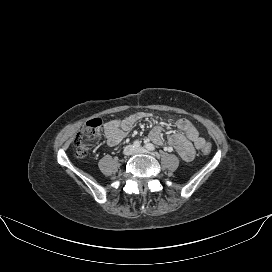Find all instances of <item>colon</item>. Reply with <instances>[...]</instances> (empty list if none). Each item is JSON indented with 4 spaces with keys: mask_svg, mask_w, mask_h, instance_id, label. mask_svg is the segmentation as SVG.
<instances>
[{
    "mask_svg": "<svg viewBox=\"0 0 272 272\" xmlns=\"http://www.w3.org/2000/svg\"><path fill=\"white\" fill-rule=\"evenodd\" d=\"M102 122L100 119H92L88 121L80 132L76 135L74 144L78 157H85L89 151L102 142L103 132L101 128ZM211 145L207 143L202 151L204 154L211 152Z\"/></svg>",
    "mask_w": 272,
    "mask_h": 272,
    "instance_id": "obj_1",
    "label": "colon"
}]
</instances>
